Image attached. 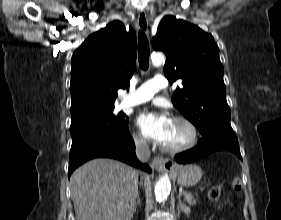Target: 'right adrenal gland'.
I'll return each instance as SVG.
<instances>
[{
  "mask_svg": "<svg viewBox=\"0 0 281 220\" xmlns=\"http://www.w3.org/2000/svg\"><path fill=\"white\" fill-rule=\"evenodd\" d=\"M137 205H138V206H141V200H140L139 194L137 195V200H136V204H135V211H136V209H137Z\"/></svg>",
  "mask_w": 281,
  "mask_h": 220,
  "instance_id": "right-adrenal-gland-1",
  "label": "right adrenal gland"
}]
</instances>
